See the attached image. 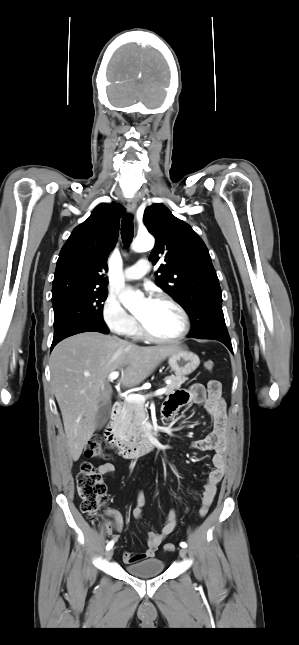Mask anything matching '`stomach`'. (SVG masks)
<instances>
[{
	"instance_id": "obj_1",
	"label": "stomach",
	"mask_w": 299,
	"mask_h": 645,
	"mask_svg": "<svg viewBox=\"0 0 299 645\" xmlns=\"http://www.w3.org/2000/svg\"><path fill=\"white\" fill-rule=\"evenodd\" d=\"M168 364L176 375L186 376L197 369L200 360L195 353L180 349L168 356Z\"/></svg>"
}]
</instances>
